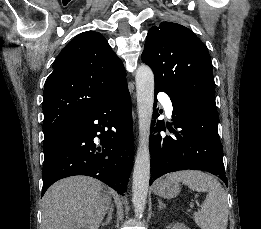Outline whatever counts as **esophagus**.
Segmentation results:
<instances>
[{
	"mask_svg": "<svg viewBox=\"0 0 261 229\" xmlns=\"http://www.w3.org/2000/svg\"><path fill=\"white\" fill-rule=\"evenodd\" d=\"M133 118H134V119L136 118V115H135V113L133 114Z\"/></svg>",
	"mask_w": 261,
	"mask_h": 229,
	"instance_id": "esophagus-1",
	"label": "esophagus"
}]
</instances>
